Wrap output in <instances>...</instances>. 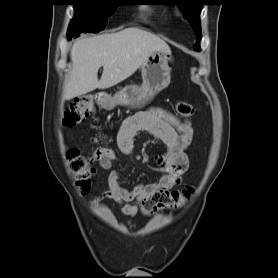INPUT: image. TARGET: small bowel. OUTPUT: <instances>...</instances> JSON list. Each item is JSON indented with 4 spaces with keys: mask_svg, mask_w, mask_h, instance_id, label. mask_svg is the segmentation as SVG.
<instances>
[{
    "mask_svg": "<svg viewBox=\"0 0 278 278\" xmlns=\"http://www.w3.org/2000/svg\"><path fill=\"white\" fill-rule=\"evenodd\" d=\"M186 129L185 123L175 115L158 107L140 111L127 118L117 135L119 150L124 154H130L137 134L150 133L166 146L165 151L156 156L163 174L154 183L138 184L133 189H126L119 183V173L112 170L114 158H101L98 160L99 166L111 171L108 176V190L103 192L97 201L113 200L122 205V213L125 216L132 217L136 215L139 204L148 195L158 190L170 191L179 185L189 164L186 151L178 147V138Z\"/></svg>",
    "mask_w": 278,
    "mask_h": 278,
    "instance_id": "c3829d8e",
    "label": "small bowel"
}]
</instances>
